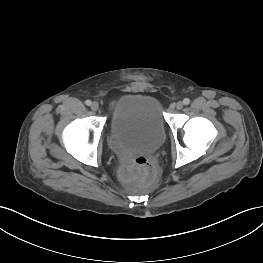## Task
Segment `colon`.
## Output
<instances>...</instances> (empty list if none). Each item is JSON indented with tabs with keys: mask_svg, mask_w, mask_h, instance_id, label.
<instances>
[{
	"mask_svg": "<svg viewBox=\"0 0 263 263\" xmlns=\"http://www.w3.org/2000/svg\"><path fill=\"white\" fill-rule=\"evenodd\" d=\"M133 176H138L142 183L146 185L152 184L156 179V169L154 165L144 157L138 158L130 167Z\"/></svg>",
	"mask_w": 263,
	"mask_h": 263,
	"instance_id": "obj_1",
	"label": "colon"
}]
</instances>
